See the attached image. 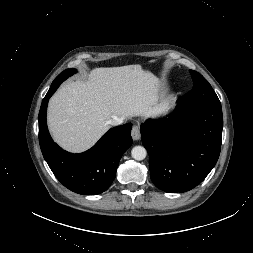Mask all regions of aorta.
<instances>
[{
    "label": "aorta",
    "instance_id": "aorta-1",
    "mask_svg": "<svg viewBox=\"0 0 253 253\" xmlns=\"http://www.w3.org/2000/svg\"><path fill=\"white\" fill-rule=\"evenodd\" d=\"M131 155L135 160H143L146 158L147 151L143 146H135L131 150Z\"/></svg>",
    "mask_w": 253,
    "mask_h": 253
}]
</instances>
